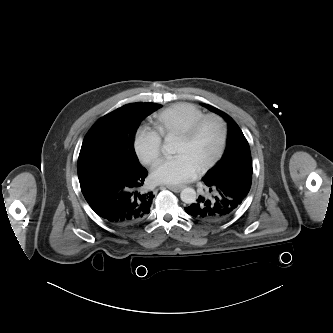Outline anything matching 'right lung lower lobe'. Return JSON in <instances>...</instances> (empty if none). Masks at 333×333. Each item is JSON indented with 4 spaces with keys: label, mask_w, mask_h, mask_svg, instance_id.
I'll return each instance as SVG.
<instances>
[{
    "label": "right lung lower lobe",
    "mask_w": 333,
    "mask_h": 333,
    "mask_svg": "<svg viewBox=\"0 0 333 333\" xmlns=\"http://www.w3.org/2000/svg\"><path fill=\"white\" fill-rule=\"evenodd\" d=\"M145 168L126 169L99 163L78 165L81 191L90 207L114 225L128 226L143 220L150 212L153 194L141 186Z\"/></svg>",
    "instance_id": "obj_1"
}]
</instances>
